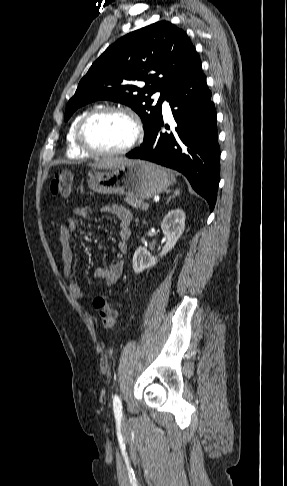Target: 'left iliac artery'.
<instances>
[{
    "label": "left iliac artery",
    "mask_w": 287,
    "mask_h": 486,
    "mask_svg": "<svg viewBox=\"0 0 287 486\" xmlns=\"http://www.w3.org/2000/svg\"><path fill=\"white\" fill-rule=\"evenodd\" d=\"M113 410L116 417H122V404L118 395L113 398Z\"/></svg>",
    "instance_id": "obj_1"
}]
</instances>
